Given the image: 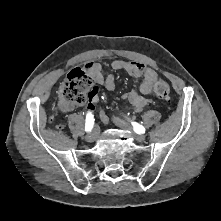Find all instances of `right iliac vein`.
<instances>
[{"label":"right iliac vein","mask_w":221,"mask_h":221,"mask_svg":"<svg viewBox=\"0 0 221 221\" xmlns=\"http://www.w3.org/2000/svg\"><path fill=\"white\" fill-rule=\"evenodd\" d=\"M98 137V128L95 127L94 130L86 136L87 142H94Z\"/></svg>","instance_id":"1"}]
</instances>
